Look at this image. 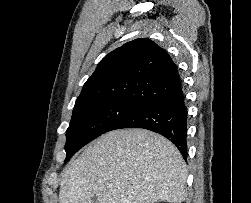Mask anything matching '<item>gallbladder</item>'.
Here are the masks:
<instances>
[{"label": "gallbladder", "instance_id": "obj_1", "mask_svg": "<svg viewBox=\"0 0 251 203\" xmlns=\"http://www.w3.org/2000/svg\"><path fill=\"white\" fill-rule=\"evenodd\" d=\"M92 203H99L96 196H94V197L92 198Z\"/></svg>", "mask_w": 251, "mask_h": 203}]
</instances>
